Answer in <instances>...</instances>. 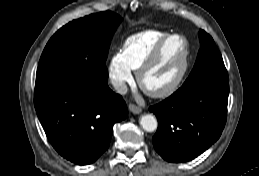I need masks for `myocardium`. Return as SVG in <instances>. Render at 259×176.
<instances>
[{
	"instance_id": "obj_1",
	"label": "myocardium",
	"mask_w": 259,
	"mask_h": 176,
	"mask_svg": "<svg viewBox=\"0 0 259 176\" xmlns=\"http://www.w3.org/2000/svg\"><path fill=\"white\" fill-rule=\"evenodd\" d=\"M173 38H179L183 42V54H182V60L180 69L175 76V78L165 85L162 88L159 89H148L144 86L143 79L146 74V72L155 64V62L159 59L161 56L167 42ZM189 57H190V44L187 38L180 34H168L164 38H162L158 44L154 47V49L151 51V53L148 55V57L144 60V62L140 65V67L137 70V82L139 86L142 88V90L153 98H163L166 96L171 95L180 85L182 82L189 64Z\"/></svg>"
}]
</instances>
